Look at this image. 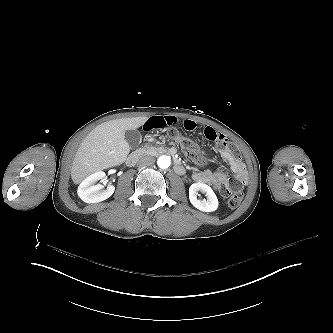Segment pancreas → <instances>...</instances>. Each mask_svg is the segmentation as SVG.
I'll list each match as a JSON object with an SVG mask.
<instances>
[{"instance_id": "cf45deb5", "label": "pancreas", "mask_w": 333, "mask_h": 333, "mask_svg": "<svg viewBox=\"0 0 333 333\" xmlns=\"http://www.w3.org/2000/svg\"><path fill=\"white\" fill-rule=\"evenodd\" d=\"M142 151L143 153L149 156L158 157L161 154H167L169 152V149L165 146H157L156 144H147L143 146Z\"/></svg>"}]
</instances>
